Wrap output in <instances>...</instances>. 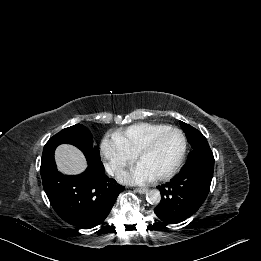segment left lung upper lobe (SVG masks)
Masks as SVG:
<instances>
[{
    "label": "left lung upper lobe",
    "mask_w": 261,
    "mask_h": 261,
    "mask_svg": "<svg viewBox=\"0 0 261 261\" xmlns=\"http://www.w3.org/2000/svg\"><path fill=\"white\" fill-rule=\"evenodd\" d=\"M180 126L186 134L187 140L190 143L192 149L207 142L206 138L194 127L180 121ZM190 154V153H189Z\"/></svg>",
    "instance_id": "5c2ea615"
}]
</instances>
